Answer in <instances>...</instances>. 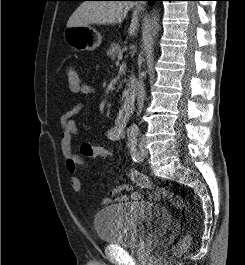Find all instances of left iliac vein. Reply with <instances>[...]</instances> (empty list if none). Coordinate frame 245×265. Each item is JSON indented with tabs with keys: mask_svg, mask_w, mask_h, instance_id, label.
<instances>
[{
	"mask_svg": "<svg viewBox=\"0 0 245 265\" xmlns=\"http://www.w3.org/2000/svg\"><path fill=\"white\" fill-rule=\"evenodd\" d=\"M139 150H140V155L142 157H146L148 155V150L145 146V142L144 140H141L140 143H139Z\"/></svg>",
	"mask_w": 245,
	"mask_h": 265,
	"instance_id": "4c4485c4",
	"label": "left iliac vein"
}]
</instances>
